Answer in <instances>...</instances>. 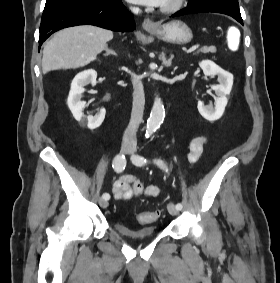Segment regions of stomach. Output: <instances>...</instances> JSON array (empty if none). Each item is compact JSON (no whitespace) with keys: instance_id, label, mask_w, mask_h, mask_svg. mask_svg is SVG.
<instances>
[{"instance_id":"stomach-1","label":"stomach","mask_w":280,"mask_h":283,"mask_svg":"<svg viewBox=\"0 0 280 283\" xmlns=\"http://www.w3.org/2000/svg\"><path fill=\"white\" fill-rule=\"evenodd\" d=\"M150 33L163 41L177 44H187L193 38L191 29L179 20L159 25L157 28L150 30Z\"/></svg>"}]
</instances>
